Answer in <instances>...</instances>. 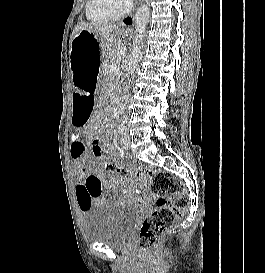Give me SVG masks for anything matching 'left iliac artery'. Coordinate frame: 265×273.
I'll return each mask as SVG.
<instances>
[{"label":"left iliac artery","mask_w":265,"mask_h":273,"mask_svg":"<svg viewBox=\"0 0 265 273\" xmlns=\"http://www.w3.org/2000/svg\"><path fill=\"white\" fill-rule=\"evenodd\" d=\"M118 129L119 131L122 133V134H125L126 133V127L123 125V124H120L118 126Z\"/></svg>","instance_id":"obj_1"}]
</instances>
